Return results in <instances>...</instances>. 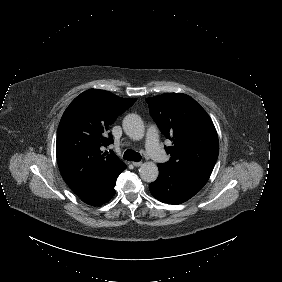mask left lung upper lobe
Here are the masks:
<instances>
[{"mask_svg": "<svg viewBox=\"0 0 282 282\" xmlns=\"http://www.w3.org/2000/svg\"><path fill=\"white\" fill-rule=\"evenodd\" d=\"M146 102L161 132L172 141L166 151L170 160L158 167L213 170L218 158L219 141L206 111L190 96L167 93Z\"/></svg>", "mask_w": 282, "mask_h": 282, "instance_id": "left-lung-upper-lobe-1", "label": "left lung upper lobe"}]
</instances>
